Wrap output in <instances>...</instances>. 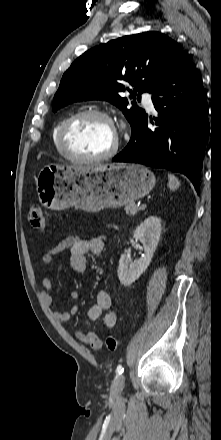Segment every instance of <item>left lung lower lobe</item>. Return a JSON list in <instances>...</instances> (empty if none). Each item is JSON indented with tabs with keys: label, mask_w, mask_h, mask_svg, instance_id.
<instances>
[{
	"label": "left lung lower lobe",
	"mask_w": 221,
	"mask_h": 440,
	"mask_svg": "<svg viewBox=\"0 0 221 440\" xmlns=\"http://www.w3.org/2000/svg\"><path fill=\"white\" fill-rule=\"evenodd\" d=\"M152 94L158 111V118H154L157 128L148 129L145 116L128 145L112 160L182 173L199 194L209 132L208 106L202 81L184 52Z\"/></svg>",
	"instance_id": "obj_1"
}]
</instances>
